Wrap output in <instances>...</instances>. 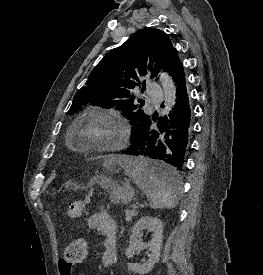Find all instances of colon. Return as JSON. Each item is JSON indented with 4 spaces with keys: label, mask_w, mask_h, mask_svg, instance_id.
I'll use <instances>...</instances> for the list:
<instances>
[{
    "label": "colon",
    "mask_w": 263,
    "mask_h": 275,
    "mask_svg": "<svg viewBox=\"0 0 263 275\" xmlns=\"http://www.w3.org/2000/svg\"><path fill=\"white\" fill-rule=\"evenodd\" d=\"M91 192L85 195L83 199L71 202L68 206L67 214L71 218L81 217L85 212L87 205L91 200ZM88 252L87 243L83 239L73 240L65 249L64 256L59 260V266L62 271L70 272L76 264L82 263Z\"/></svg>",
    "instance_id": "5ec220e1"
}]
</instances>
